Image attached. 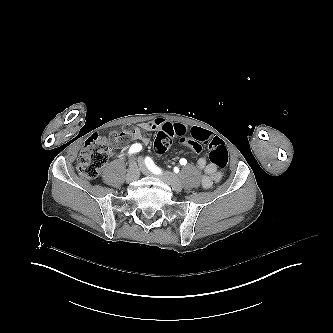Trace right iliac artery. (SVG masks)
I'll return each instance as SVG.
<instances>
[{
    "label": "right iliac artery",
    "instance_id": "82829eb1",
    "mask_svg": "<svg viewBox=\"0 0 333 333\" xmlns=\"http://www.w3.org/2000/svg\"><path fill=\"white\" fill-rule=\"evenodd\" d=\"M142 149V146L140 144H133L129 150V154L139 152Z\"/></svg>",
    "mask_w": 333,
    "mask_h": 333
}]
</instances>
